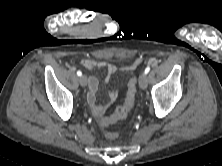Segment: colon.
Instances as JSON below:
<instances>
[{
  "instance_id": "obj_1",
  "label": "colon",
  "mask_w": 222,
  "mask_h": 166,
  "mask_svg": "<svg viewBox=\"0 0 222 166\" xmlns=\"http://www.w3.org/2000/svg\"><path fill=\"white\" fill-rule=\"evenodd\" d=\"M136 91L137 80L135 77H132L128 82L127 93L123 104L120 105L113 114L101 119L100 125L103 129H107L110 125L127 117L134 105ZM105 134L109 139H114L117 137V133L113 131L106 130Z\"/></svg>"
}]
</instances>
